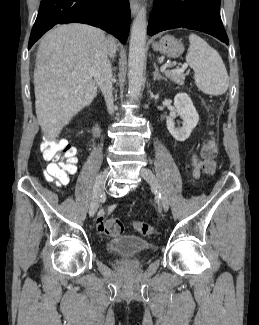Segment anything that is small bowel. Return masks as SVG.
Returning a JSON list of instances; mask_svg holds the SVG:
<instances>
[{
	"instance_id": "1",
	"label": "small bowel",
	"mask_w": 259,
	"mask_h": 325,
	"mask_svg": "<svg viewBox=\"0 0 259 325\" xmlns=\"http://www.w3.org/2000/svg\"><path fill=\"white\" fill-rule=\"evenodd\" d=\"M201 165H202V162L196 156H193L192 157V171H193L194 177L199 176L200 170H201ZM45 172H46V169H45ZM96 225H97V229L100 232L105 231V212L103 210L99 211V213H98Z\"/></svg>"
}]
</instances>
